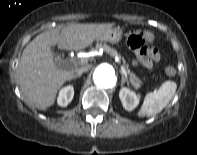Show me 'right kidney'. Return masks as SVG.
Here are the masks:
<instances>
[{
	"instance_id": "obj_1",
	"label": "right kidney",
	"mask_w": 197,
	"mask_h": 155,
	"mask_svg": "<svg viewBox=\"0 0 197 155\" xmlns=\"http://www.w3.org/2000/svg\"><path fill=\"white\" fill-rule=\"evenodd\" d=\"M73 97H74V88L72 85H68L66 87H63L59 91L57 103L61 107H66L72 101Z\"/></svg>"
}]
</instances>
